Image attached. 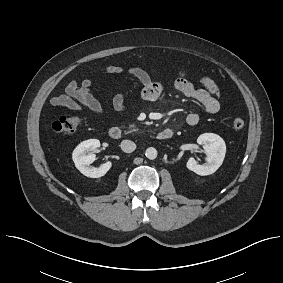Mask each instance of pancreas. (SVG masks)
Here are the masks:
<instances>
[{
	"mask_svg": "<svg viewBox=\"0 0 283 283\" xmlns=\"http://www.w3.org/2000/svg\"><path fill=\"white\" fill-rule=\"evenodd\" d=\"M130 128H133V129H134V128H135V125H130Z\"/></svg>",
	"mask_w": 283,
	"mask_h": 283,
	"instance_id": "1",
	"label": "pancreas"
}]
</instances>
